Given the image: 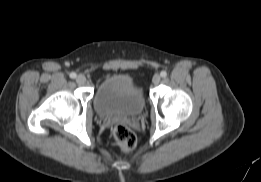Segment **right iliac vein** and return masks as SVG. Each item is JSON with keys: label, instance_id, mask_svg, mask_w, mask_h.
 Masks as SVG:
<instances>
[{"label": "right iliac vein", "instance_id": "63e3f726", "mask_svg": "<svg viewBox=\"0 0 261 182\" xmlns=\"http://www.w3.org/2000/svg\"><path fill=\"white\" fill-rule=\"evenodd\" d=\"M76 81L78 84L83 85L86 83V77L84 75L80 74L76 77Z\"/></svg>", "mask_w": 261, "mask_h": 182}]
</instances>
